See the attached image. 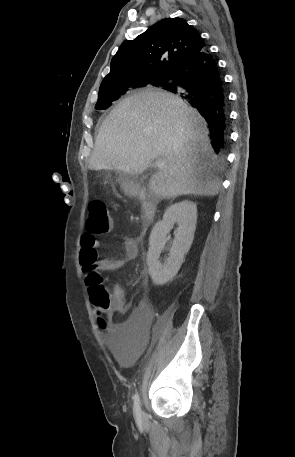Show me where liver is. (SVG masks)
<instances>
[{"label": "liver", "mask_w": 295, "mask_h": 457, "mask_svg": "<svg viewBox=\"0 0 295 457\" xmlns=\"http://www.w3.org/2000/svg\"><path fill=\"white\" fill-rule=\"evenodd\" d=\"M208 133L204 118L180 97L139 92L118 103L103 121L89 169L138 175L162 159L165 166L149 182L156 196H214L220 181Z\"/></svg>", "instance_id": "liver-1"}]
</instances>
